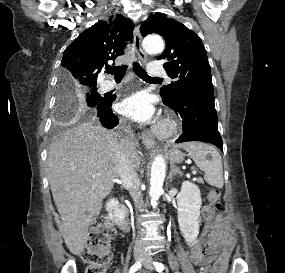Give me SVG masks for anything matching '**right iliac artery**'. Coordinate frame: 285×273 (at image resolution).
<instances>
[{"label":"right iliac artery","mask_w":285,"mask_h":273,"mask_svg":"<svg viewBox=\"0 0 285 273\" xmlns=\"http://www.w3.org/2000/svg\"><path fill=\"white\" fill-rule=\"evenodd\" d=\"M140 268H141V262L138 261L133 266H131L129 273H135Z\"/></svg>","instance_id":"obj_1"}]
</instances>
